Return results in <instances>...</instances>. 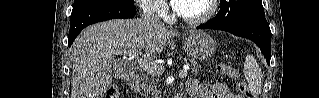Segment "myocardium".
<instances>
[{
  "label": "myocardium",
  "mask_w": 319,
  "mask_h": 98,
  "mask_svg": "<svg viewBox=\"0 0 319 98\" xmlns=\"http://www.w3.org/2000/svg\"><path fill=\"white\" fill-rule=\"evenodd\" d=\"M217 3H218L217 0H207L208 7L206 12L194 18L186 17L180 14L179 12H176V16L180 21L188 25H200V24L206 23L213 17L217 9Z\"/></svg>",
  "instance_id": "myocardium-1"
}]
</instances>
